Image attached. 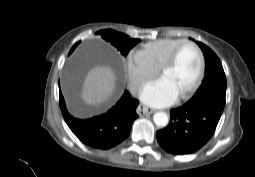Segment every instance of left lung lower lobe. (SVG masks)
<instances>
[{"mask_svg":"<svg viewBox=\"0 0 255 177\" xmlns=\"http://www.w3.org/2000/svg\"><path fill=\"white\" fill-rule=\"evenodd\" d=\"M223 110L224 106L215 100L187 102L170 111V123L157 131V140L168 153H194L213 136Z\"/></svg>","mask_w":255,"mask_h":177,"instance_id":"0a47b994","label":"left lung lower lobe"}]
</instances>
